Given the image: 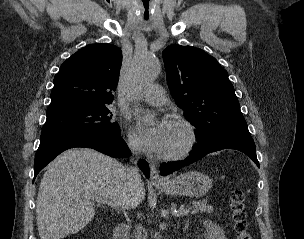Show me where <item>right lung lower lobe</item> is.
I'll use <instances>...</instances> for the list:
<instances>
[{
  "label": "right lung lower lobe",
  "instance_id": "1",
  "mask_svg": "<svg viewBox=\"0 0 304 239\" xmlns=\"http://www.w3.org/2000/svg\"><path fill=\"white\" fill-rule=\"evenodd\" d=\"M73 147L95 149L111 157H127L130 150L121 137H110L89 132H61L41 135L34 162V179L37 174L61 152ZM144 175L149 177V165L145 160L138 163Z\"/></svg>",
  "mask_w": 304,
  "mask_h": 239
}]
</instances>
